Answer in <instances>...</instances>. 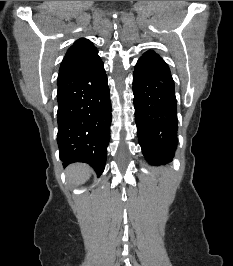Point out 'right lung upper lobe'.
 <instances>
[{"mask_svg": "<svg viewBox=\"0 0 233 266\" xmlns=\"http://www.w3.org/2000/svg\"><path fill=\"white\" fill-rule=\"evenodd\" d=\"M97 55L98 51L92 42L84 38L76 40L61 63L58 80L79 70Z\"/></svg>", "mask_w": 233, "mask_h": 266, "instance_id": "right-lung-upper-lobe-1", "label": "right lung upper lobe"}]
</instances>
